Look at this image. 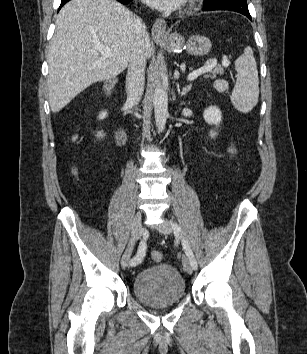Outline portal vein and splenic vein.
Segmentation results:
<instances>
[{
	"instance_id": "1",
	"label": "portal vein and splenic vein",
	"mask_w": 307,
	"mask_h": 354,
	"mask_svg": "<svg viewBox=\"0 0 307 354\" xmlns=\"http://www.w3.org/2000/svg\"><path fill=\"white\" fill-rule=\"evenodd\" d=\"M98 51L101 53V55L103 57H111L113 55V51L111 48L104 46V45H98L97 46ZM217 65V60L213 59L210 61H207L205 63V65L199 69L194 70L192 73H190L187 76V80L188 81H193L194 79H196L198 76L210 72L212 69H214V67ZM222 65L224 67H227L229 65V61L228 60H223L222 61Z\"/></svg>"
}]
</instances>
